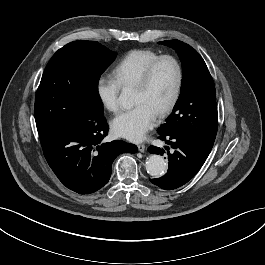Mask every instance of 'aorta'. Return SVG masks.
Returning <instances> with one entry per match:
<instances>
[{"instance_id": "obj_1", "label": "aorta", "mask_w": 265, "mask_h": 265, "mask_svg": "<svg viewBox=\"0 0 265 265\" xmlns=\"http://www.w3.org/2000/svg\"><path fill=\"white\" fill-rule=\"evenodd\" d=\"M129 96L127 91H123L120 95V102L127 105ZM146 170L153 177H161L167 171V164L162 156L151 155L146 162Z\"/></svg>"}]
</instances>
